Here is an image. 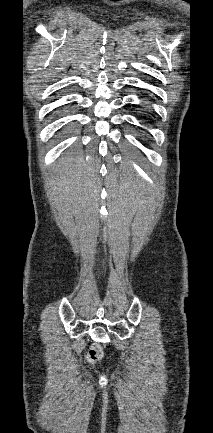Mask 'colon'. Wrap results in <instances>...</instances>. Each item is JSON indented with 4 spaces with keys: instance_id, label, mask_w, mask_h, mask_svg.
Instances as JSON below:
<instances>
[{
    "instance_id": "5ec220e1",
    "label": "colon",
    "mask_w": 213,
    "mask_h": 433,
    "mask_svg": "<svg viewBox=\"0 0 213 433\" xmlns=\"http://www.w3.org/2000/svg\"><path fill=\"white\" fill-rule=\"evenodd\" d=\"M103 356V351L100 345L95 344L91 346L87 353V360L90 364L96 363Z\"/></svg>"
}]
</instances>
